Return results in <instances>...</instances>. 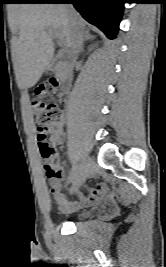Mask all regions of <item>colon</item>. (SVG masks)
I'll use <instances>...</instances> for the list:
<instances>
[{"label":"colon","instance_id":"obj_1","mask_svg":"<svg viewBox=\"0 0 166 267\" xmlns=\"http://www.w3.org/2000/svg\"><path fill=\"white\" fill-rule=\"evenodd\" d=\"M46 98L49 99L50 102L46 101ZM63 99L64 97L59 89L58 81L52 79L36 90V97L31 103L37 124L36 132L39 150L42 158L47 161L44 165V171L49 179L55 178L58 175V171L52 161L54 152L47 143V134L49 125L61 117V111L57 102H62Z\"/></svg>","mask_w":166,"mask_h":267}]
</instances>
